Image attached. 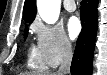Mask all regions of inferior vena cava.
Returning a JSON list of instances; mask_svg holds the SVG:
<instances>
[{
  "label": "inferior vena cava",
  "instance_id": "obj_1",
  "mask_svg": "<svg viewBox=\"0 0 107 75\" xmlns=\"http://www.w3.org/2000/svg\"><path fill=\"white\" fill-rule=\"evenodd\" d=\"M73 51L70 43H65L63 52H62V60L60 67L57 71V75H69L70 74V66L72 62Z\"/></svg>",
  "mask_w": 107,
  "mask_h": 75
}]
</instances>
